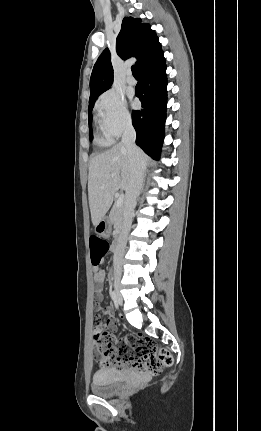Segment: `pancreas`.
<instances>
[{
	"mask_svg": "<svg viewBox=\"0 0 261 431\" xmlns=\"http://www.w3.org/2000/svg\"><path fill=\"white\" fill-rule=\"evenodd\" d=\"M109 220L111 224L114 225L115 233H118L121 229L123 220V206L117 207L114 204L109 214Z\"/></svg>",
	"mask_w": 261,
	"mask_h": 431,
	"instance_id": "pancreas-1",
	"label": "pancreas"
}]
</instances>
